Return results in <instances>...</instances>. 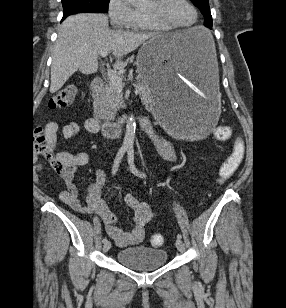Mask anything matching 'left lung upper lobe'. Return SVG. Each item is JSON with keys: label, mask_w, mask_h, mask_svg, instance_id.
I'll return each mask as SVG.
<instances>
[{"label": "left lung upper lobe", "mask_w": 286, "mask_h": 308, "mask_svg": "<svg viewBox=\"0 0 286 308\" xmlns=\"http://www.w3.org/2000/svg\"><path fill=\"white\" fill-rule=\"evenodd\" d=\"M205 17L204 25L212 28V16L210 13L209 0H191Z\"/></svg>", "instance_id": "1"}]
</instances>
